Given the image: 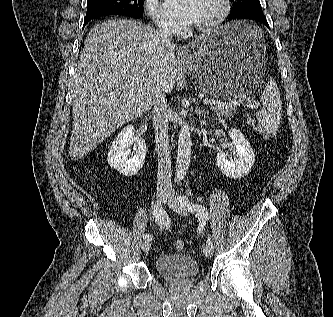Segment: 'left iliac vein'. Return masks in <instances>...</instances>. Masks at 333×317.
<instances>
[{
    "instance_id": "4c4485c4",
    "label": "left iliac vein",
    "mask_w": 333,
    "mask_h": 317,
    "mask_svg": "<svg viewBox=\"0 0 333 317\" xmlns=\"http://www.w3.org/2000/svg\"><path fill=\"white\" fill-rule=\"evenodd\" d=\"M165 203L176 213L181 215H186V208L181 206L177 201L173 192H168L167 199ZM214 247L210 238H207L204 248V253L207 257H211L213 255Z\"/></svg>"
}]
</instances>
